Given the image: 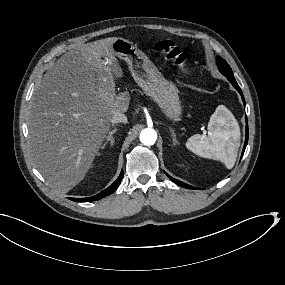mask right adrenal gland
Returning a JSON list of instances; mask_svg holds the SVG:
<instances>
[{"instance_id": "right-adrenal-gland-1", "label": "right adrenal gland", "mask_w": 285, "mask_h": 285, "mask_svg": "<svg viewBox=\"0 0 285 285\" xmlns=\"http://www.w3.org/2000/svg\"><path fill=\"white\" fill-rule=\"evenodd\" d=\"M117 131V128L115 127L113 130H111L109 132V134L106 136V141L103 144V146H101V149H104L106 147V145L108 144V142H110L111 147L114 145L115 143V139L113 137V134Z\"/></svg>"}]
</instances>
